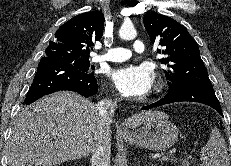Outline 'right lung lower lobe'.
<instances>
[{"label": "right lung lower lobe", "mask_w": 231, "mask_h": 166, "mask_svg": "<svg viewBox=\"0 0 231 166\" xmlns=\"http://www.w3.org/2000/svg\"><path fill=\"white\" fill-rule=\"evenodd\" d=\"M60 90H71L90 97L97 94L98 85L93 72L85 73L68 63L42 57L24 103L29 105Z\"/></svg>", "instance_id": "obj_1"}]
</instances>
